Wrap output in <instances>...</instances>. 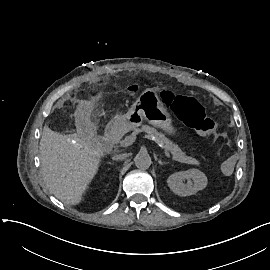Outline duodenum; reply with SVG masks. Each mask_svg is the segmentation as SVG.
<instances>
[{"mask_svg":"<svg viewBox=\"0 0 270 270\" xmlns=\"http://www.w3.org/2000/svg\"><path fill=\"white\" fill-rule=\"evenodd\" d=\"M125 130V122L123 120H115L111 122L105 131L104 142L107 146H115L121 140Z\"/></svg>","mask_w":270,"mask_h":270,"instance_id":"duodenum-1","label":"duodenum"}]
</instances>
